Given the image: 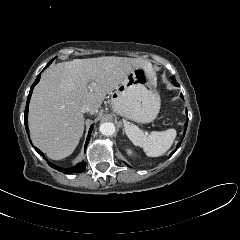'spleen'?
Returning <instances> with one entry per match:
<instances>
[{
    "mask_svg": "<svg viewBox=\"0 0 240 240\" xmlns=\"http://www.w3.org/2000/svg\"><path fill=\"white\" fill-rule=\"evenodd\" d=\"M125 133L135 146L143 148L147 156L158 157L166 153L176 137L175 129L163 132H148L141 130L138 126L126 122Z\"/></svg>",
    "mask_w": 240,
    "mask_h": 240,
    "instance_id": "spleen-1",
    "label": "spleen"
}]
</instances>
